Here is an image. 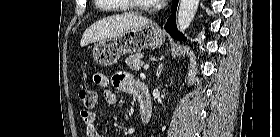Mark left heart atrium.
I'll list each match as a JSON object with an SVG mask.
<instances>
[{
	"mask_svg": "<svg viewBox=\"0 0 280 137\" xmlns=\"http://www.w3.org/2000/svg\"><path fill=\"white\" fill-rule=\"evenodd\" d=\"M152 4L163 5L166 3V0H149Z\"/></svg>",
	"mask_w": 280,
	"mask_h": 137,
	"instance_id": "left-heart-atrium-1",
	"label": "left heart atrium"
}]
</instances>
